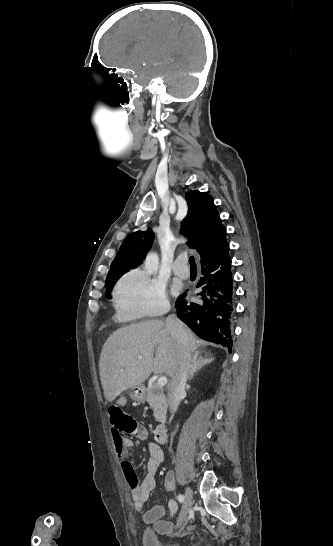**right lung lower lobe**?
I'll return each mask as SVG.
<instances>
[{"mask_svg":"<svg viewBox=\"0 0 333 546\" xmlns=\"http://www.w3.org/2000/svg\"><path fill=\"white\" fill-rule=\"evenodd\" d=\"M228 243L209 261L201 262L203 277L198 303H190L186 294L176 302L177 316L200 338L232 348L233 277Z\"/></svg>","mask_w":333,"mask_h":546,"instance_id":"98d812e1","label":"right lung lower lobe"}]
</instances>
